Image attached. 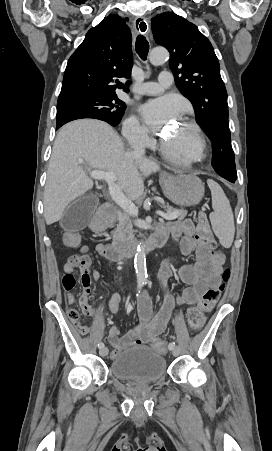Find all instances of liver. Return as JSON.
I'll return each mask as SVG.
<instances>
[{
    "label": "liver",
    "mask_w": 272,
    "mask_h": 451,
    "mask_svg": "<svg viewBox=\"0 0 272 451\" xmlns=\"http://www.w3.org/2000/svg\"><path fill=\"white\" fill-rule=\"evenodd\" d=\"M78 160H85L90 168L114 172L117 186L130 200L141 198L144 178L160 170L149 158L125 152L109 124L100 120L70 122L57 134L49 160L43 200L47 226L61 220L68 204L94 186Z\"/></svg>",
    "instance_id": "1"
}]
</instances>
